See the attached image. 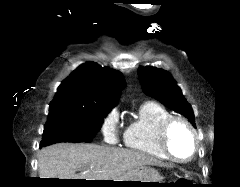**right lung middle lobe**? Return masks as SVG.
Instances as JSON below:
<instances>
[{
	"label": "right lung middle lobe",
	"mask_w": 240,
	"mask_h": 187,
	"mask_svg": "<svg viewBox=\"0 0 240 187\" xmlns=\"http://www.w3.org/2000/svg\"><path fill=\"white\" fill-rule=\"evenodd\" d=\"M109 111L72 106L49 108L41 145L47 146L59 142L90 143Z\"/></svg>",
	"instance_id": "right-lung-middle-lobe-1"
}]
</instances>
